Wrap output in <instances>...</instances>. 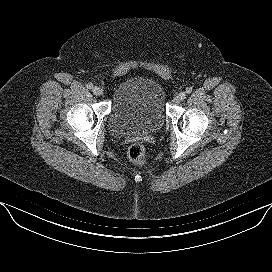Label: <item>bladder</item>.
<instances>
[{
  "label": "bladder",
  "instance_id": "obj_1",
  "mask_svg": "<svg viewBox=\"0 0 272 272\" xmlns=\"http://www.w3.org/2000/svg\"><path fill=\"white\" fill-rule=\"evenodd\" d=\"M165 99V89L157 79L146 75L126 77L113 93L110 131L117 136L157 131L166 119Z\"/></svg>",
  "mask_w": 272,
  "mask_h": 272
}]
</instances>
